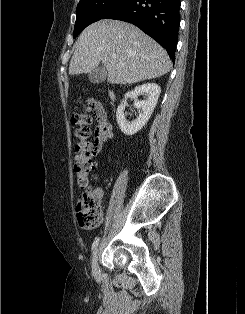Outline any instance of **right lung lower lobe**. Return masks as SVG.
<instances>
[{
  "mask_svg": "<svg viewBox=\"0 0 245 314\" xmlns=\"http://www.w3.org/2000/svg\"><path fill=\"white\" fill-rule=\"evenodd\" d=\"M180 0H129L103 19L134 24L162 45L175 60L180 24Z\"/></svg>",
  "mask_w": 245,
  "mask_h": 314,
  "instance_id": "98d812e1",
  "label": "right lung lower lobe"
}]
</instances>
